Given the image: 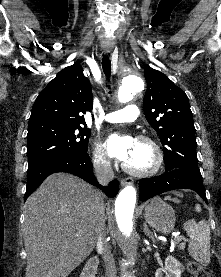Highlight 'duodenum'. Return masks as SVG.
<instances>
[{
    "label": "duodenum",
    "instance_id": "duodenum-1",
    "mask_svg": "<svg viewBox=\"0 0 221 277\" xmlns=\"http://www.w3.org/2000/svg\"><path fill=\"white\" fill-rule=\"evenodd\" d=\"M99 260L97 257L91 258L84 267L80 277H96Z\"/></svg>",
    "mask_w": 221,
    "mask_h": 277
}]
</instances>
